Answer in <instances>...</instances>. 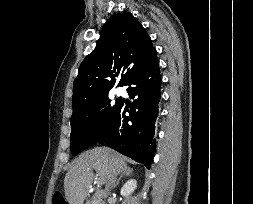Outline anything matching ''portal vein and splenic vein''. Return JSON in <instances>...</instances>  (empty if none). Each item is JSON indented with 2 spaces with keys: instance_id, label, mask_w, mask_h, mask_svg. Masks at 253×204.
Here are the masks:
<instances>
[{
  "instance_id": "portal-vein-and-splenic-vein-1",
  "label": "portal vein and splenic vein",
  "mask_w": 253,
  "mask_h": 204,
  "mask_svg": "<svg viewBox=\"0 0 253 204\" xmlns=\"http://www.w3.org/2000/svg\"><path fill=\"white\" fill-rule=\"evenodd\" d=\"M96 183H97L98 186L103 184V182L100 179H97Z\"/></svg>"
}]
</instances>
